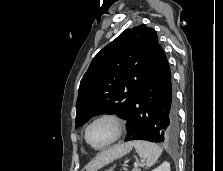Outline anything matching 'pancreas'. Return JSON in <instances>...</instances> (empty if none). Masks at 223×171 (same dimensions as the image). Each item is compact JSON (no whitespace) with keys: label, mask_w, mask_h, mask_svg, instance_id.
Instances as JSON below:
<instances>
[{"label":"pancreas","mask_w":223,"mask_h":171,"mask_svg":"<svg viewBox=\"0 0 223 171\" xmlns=\"http://www.w3.org/2000/svg\"><path fill=\"white\" fill-rule=\"evenodd\" d=\"M132 171H141L140 169H133Z\"/></svg>","instance_id":"obj_1"}]
</instances>
